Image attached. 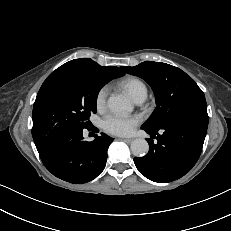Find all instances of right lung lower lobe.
I'll return each instance as SVG.
<instances>
[{
    "label": "right lung lower lobe",
    "mask_w": 231,
    "mask_h": 231,
    "mask_svg": "<svg viewBox=\"0 0 231 231\" xmlns=\"http://www.w3.org/2000/svg\"><path fill=\"white\" fill-rule=\"evenodd\" d=\"M88 130L96 129L94 126ZM114 139L102 133L91 142L83 138V130L64 134L53 140H34L45 167L56 177L76 184L97 177L107 161V149Z\"/></svg>",
    "instance_id": "98d812e1"
}]
</instances>
